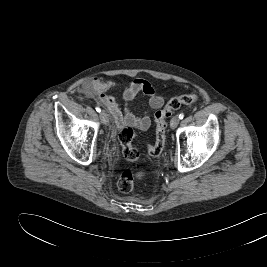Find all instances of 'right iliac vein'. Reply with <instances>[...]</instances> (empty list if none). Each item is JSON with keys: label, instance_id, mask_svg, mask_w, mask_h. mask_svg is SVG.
Here are the masks:
<instances>
[{"label": "right iliac vein", "instance_id": "right-iliac-vein-1", "mask_svg": "<svg viewBox=\"0 0 267 267\" xmlns=\"http://www.w3.org/2000/svg\"><path fill=\"white\" fill-rule=\"evenodd\" d=\"M100 119L103 124H107L109 122V116L105 111L100 113Z\"/></svg>", "mask_w": 267, "mask_h": 267}]
</instances>
